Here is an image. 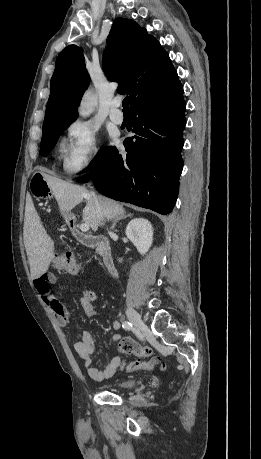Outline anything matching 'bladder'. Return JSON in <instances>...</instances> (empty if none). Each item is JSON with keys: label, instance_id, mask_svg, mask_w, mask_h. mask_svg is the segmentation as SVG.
Segmentation results:
<instances>
[{"label": "bladder", "instance_id": "bladder-1", "mask_svg": "<svg viewBox=\"0 0 261 459\" xmlns=\"http://www.w3.org/2000/svg\"><path fill=\"white\" fill-rule=\"evenodd\" d=\"M135 385L136 382L133 380H121L108 384L105 387L110 389H129L134 387Z\"/></svg>", "mask_w": 261, "mask_h": 459}]
</instances>
